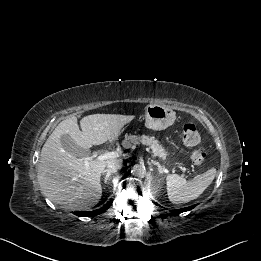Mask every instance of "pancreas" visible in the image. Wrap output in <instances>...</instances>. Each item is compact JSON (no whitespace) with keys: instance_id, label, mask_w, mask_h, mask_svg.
Here are the masks:
<instances>
[{"instance_id":"obj_1","label":"pancreas","mask_w":261,"mask_h":261,"mask_svg":"<svg viewBox=\"0 0 261 261\" xmlns=\"http://www.w3.org/2000/svg\"><path fill=\"white\" fill-rule=\"evenodd\" d=\"M142 143L143 145L149 146L153 153L156 154L159 157H166L167 152L162 147V145L159 143L158 140H155L154 137H150L147 135H125V139L122 142V145L124 148H130L133 144H139Z\"/></svg>"}]
</instances>
